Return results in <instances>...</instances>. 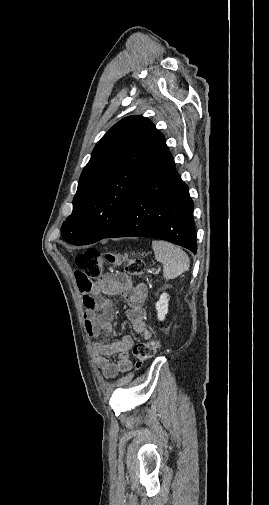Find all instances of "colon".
Returning a JSON list of instances; mask_svg holds the SVG:
<instances>
[{"mask_svg":"<svg viewBox=\"0 0 269 505\" xmlns=\"http://www.w3.org/2000/svg\"><path fill=\"white\" fill-rule=\"evenodd\" d=\"M105 260L113 264L121 263V259L114 254L103 256L97 249H87L79 253L75 258L77 268H84L90 281H99L101 272L104 269ZM125 271L127 274L140 277L144 272V263L140 259L128 258L125 260ZM159 343L150 340L138 343L133 348V355L136 359V366L141 367L143 363L150 360L158 351Z\"/></svg>","mask_w":269,"mask_h":505,"instance_id":"obj_1","label":"colon"}]
</instances>
